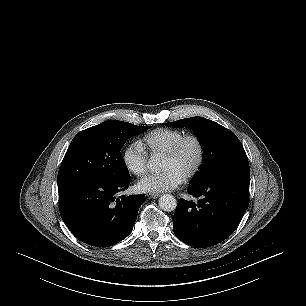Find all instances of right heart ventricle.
I'll list each match as a JSON object with an SVG mask.
<instances>
[{
    "label": "right heart ventricle",
    "mask_w": 306,
    "mask_h": 306,
    "mask_svg": "<svg viewBox=\"0 0 306 306\" xmlns=\"http://www.w3.org/2000/svg\"><path fill=\"white\" fill-rule=\"evenodd\" d=\"M183 135L181 130L159 128L144 135L141 145L151 155H163Z\"/></svg>",
    "instance_id": "1"
}]
</instances>
